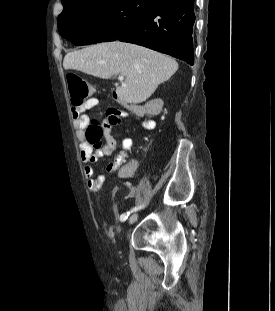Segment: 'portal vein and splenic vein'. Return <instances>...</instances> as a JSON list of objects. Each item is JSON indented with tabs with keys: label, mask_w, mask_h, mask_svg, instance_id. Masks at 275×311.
I'll return each instance as SVG.
<instances>
[{
	"label": "portal vein and splenic vein",
	"mask_w": 275,
	"mask_h": 311,
	"mask_svg": "<svg viewBox=\"0 0 275 311\" xmlns=\"http://www.w3.org/2000/svg\"><path fill=\"white\" fill-rule=\"evenodd\" d=\"M118 80L122 82L124 80V76L123 75H119L118 76Z\"/></svg>",
	"instance_id": "obj_1"
}]
</instances>
